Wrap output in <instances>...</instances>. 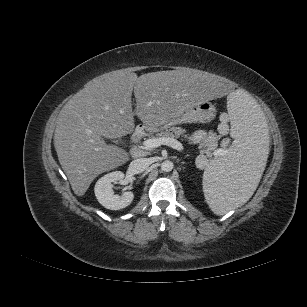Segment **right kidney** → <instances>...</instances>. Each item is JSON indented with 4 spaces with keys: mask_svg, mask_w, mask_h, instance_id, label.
Returning <instances> with one entry per match:
<instances>
[{
    "mask_svg": "<svg viewBox=\"0 0 307 307\" xmlns=\"http://www.w3.org/2000/svg\"><path fill=\"white\" fill-rule=\"evenodd\" d=\"M125 174L114 171L101 177L95 184L94 192L98 202L107 209L120 210L131 204L134 199L132 192H123L121 195L114 194L112 183L122 181Z\"/></svg>",
    "mask_w": 307,
    "mask_h": 307,
    "instance_id": "1",
    "label": "right kidney"
}]
</instances>
